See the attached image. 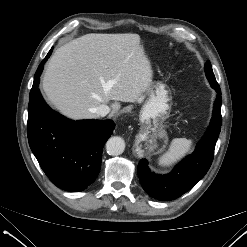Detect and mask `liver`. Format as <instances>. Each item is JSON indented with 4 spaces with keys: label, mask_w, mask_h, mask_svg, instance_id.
<instances>
[{
    "label": "liver",
    "mask_w": 247,
    "mask_h": 247,
    "mask_svg": "<svg viewBox=\"0 0 247 247\" xmlns=\"http://www.w3.org/2000/svg\"><path fill=\"white\" fill-rule=\"evenodd\" d=\"M138 34H86L61 46L47 65L42 88L48 101L73 120L95 119L94 109L112 100L136 102L153 78Z\"/></svg>",
    "instance_id": "liver-1"
}]
</instances>
